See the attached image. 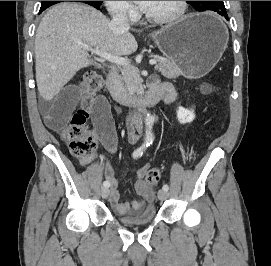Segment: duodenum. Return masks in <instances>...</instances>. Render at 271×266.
Segmentation results:
<instances>
[{"instance_id": "obj_1", "label": "duodenum", "mask_w": 271, "mask_h": 266, "mask_svg": "<svg viewBox=\"0 0 271 266\" xmlns=\"http://www.w3.org/2000/svg\"><path fill=\"white\" fill-rule=\"evenodd\" d=\"M107 88L115 101L122 104L132 103L141 109L155 105L161 98H164L168 94L167 86L159 83H151L150 89L145 96L132 97L124 90L117 70H112L108 75Z\"/></svg>"}]
</instances>
